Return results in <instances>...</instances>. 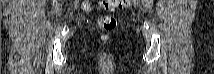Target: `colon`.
<instances>
[{
	"label": "colon",
	"instance_id": "1",
	"mask_svg": "<svg viewBox=\"0 0 214 74\" xmlns=\"http://www.w3.org/2000/svg\"><path fill=\"white\" fill-rule=\"evenodd\" d=\"M132 4L131 0H107L100 2L101 7L107 11H113L116 8L126 9ZM83 9L88 11L91 8V3L89 1L83 2ZM100 26L105 31H112L117 26V20L113 16H104L100 19Z\"/></svg>",
	"mask_w": 214,
	"mask_h": 74
}]
</instances>
